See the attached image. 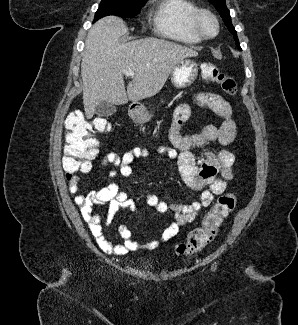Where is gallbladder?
Returning a JSON list of instances; mask_svg holds the SVG:
<instances>
[{"instance_id": "1", "label": "gallbladder", "mask_w": 298, "mask_h": 325, "mask_svg": "<svg viewBox=\"0 0 298 325\" xmlns=\"http://www.w3.org/2000/svg\"><path fill=\"white\" fill-rule=\"evenodd\" d=\"M116 110L117 106H115V104H110V102L103 100V102L97 104L95 114H97V116H111V114H114Z\"/></svg>"}]
</instances>
